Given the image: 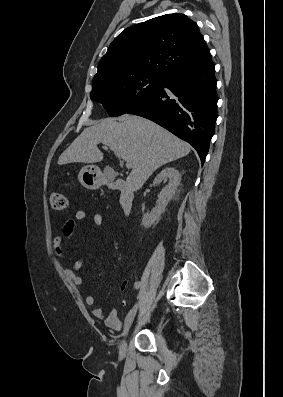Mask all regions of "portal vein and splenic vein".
<instances>
[{"mask_svg":"<svg viewBox=\"0 0 283 397\" xmlns=\"http://www.w3.org/2000/svg\"><path fill=\"white\" fill-rule=\"evenodd\" d=\"M123 160H125V159H123ZM126 167H127V168H130V167H131V164L127 162V163H126Z\"/></svg>","mask_w":283,"mask_h":397,"instance_id":"1","label":"portal vein and splenic vein"}]
</instances>
